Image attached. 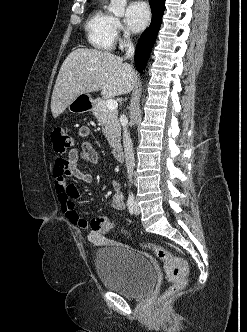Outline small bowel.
<instances>
[{
	"mask_svg": "<svg viewBox=\"0 0 247 332\" xmlns=\"http://www.w3.org/2000/svg\"><path fill=\"white\" fill-rule=\"evenodd\" d=\"M90 129L87 126H81L79 135L83 138L87 137ZM83 159L91 166L99 164V157L87 141L82 142L80 149H72L68 152L66 158H57L53 168V177L55 190L61 209L66 215L67 219L75 226L84 230L89 237L95 233L89 222L82 217L75 209L74 199L79 196V192L73 185L67 183V177H73L81 182L90 183L92 181L91 174L81 170L78 167L79 160ZM112 186V200L111 205L115 210H123L125 207L124 195L116 181H111Z\"/></svg>",
	"mask_w": 247,
	"mask_h": 332,
	"instance_id": "small-bowel-1",
	"label": "small bowel"
}]
</instances>
